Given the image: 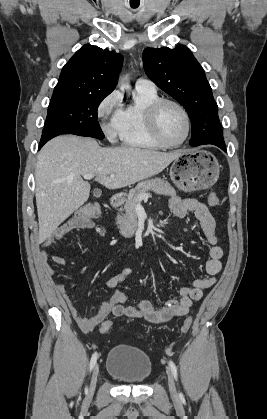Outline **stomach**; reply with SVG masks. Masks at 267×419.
Returning <instances> with one entry per match:
<instances>
[{"mask_svg":"<svg viewBox=\"0 0 267 419\" xmlns=\"http://www.w3.org/2000/svg\"><path fill=\"white\" fill-rule=\"evenodd\" d=\"M220 172L216 157L205 150L186 151L176 158L170 168L173 183L182 191L192 192L213 186Z\"/></svg>","mask_w":267,"mask_h":419,"instance_id":"1","label":"stomach"}]
</instances>
